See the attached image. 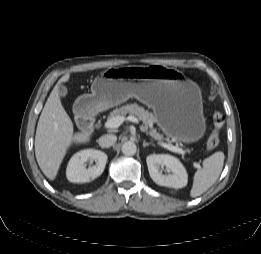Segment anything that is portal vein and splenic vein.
<instances>
[{
	"label": "portal vein and splenic vein",
	"mask_w": 261,
	"mask_h": 254,
	"mask_svg": "<svg viewBox=\"0 0 261 254\" xmlns=\"http://www.w3.org/2000/svg\"><path fill=\"white\" fill-rule=\"evenodd\" d=\"M128 121L130 122H133L135 124H139V120L133 116V115H130L126 118ZM125 118L123 116H117V117H113V118H109L104 126L105 128L107 129H114V128H118L123 122H124ZM141 130L144 131V128L141 127ZM160 145L170 151H173V152H177V153H180L182 155L185 154L184 150H182L181 148L177 147V146H173L171 144H167V143H160ZM194 166L198 169L201 168L200 164L199 163H195Z\"/></svg>",
	"instance_id": "portal-vein-and-splenic-vein-1"
}]
</instances>
